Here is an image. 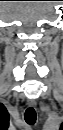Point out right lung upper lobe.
Returning <instances> with one entry per match:
<instances>
[{"instance_id": "obj_1", "label": "right lung upper lobe", "mask_w": 63, "mask_h": 130, "mask_svg": "<svg viewBox=\"0 0 63 130\" xmlns=\"http://www.w3.org/2000/svg\"><path fill=\"white\" fill-rule=\"evenodd\" d=\"M1 117H2V124L5 127H8L9 126V114L3 105H1Z\"/></svg>"}]
</instances>
